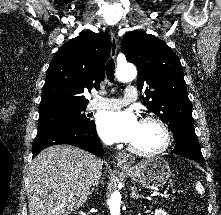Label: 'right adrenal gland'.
I'll use <instances>...</instances> for the list:
<instances>
[{
  "label": "right adrenal gland",
  "mask_w": 221,
  "mask_h": 215,
  "mask_svg": "<svg viewBox=\"0 0 221 215\" xmlns=\"http://www.w3.org/2000/svg\"><path fill=\"white\" fill-rule=\"evenodd\" d=\"M101 173L96 177V179H95V182L93 183V185H92V189H91V191L89 192V194L91 195L92 194V192L94 191V189H95V187H98V185H99V182H100V179H101Z\"/></svg>",
  "instance_id": "right-adrenal-gland-1"
}]
</instances>
